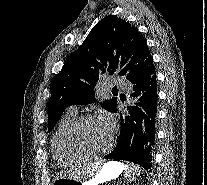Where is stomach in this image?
Instances as JSON below:
<instances>
[{
    "label": "stomach",
    "mask_w": 207,
    "mask_h": 185,
    "mask_svg": "<svg viewBox=\"0 0 207 185\" xmlns=\"http://www.w3.org/2000/svg\"><path fill=\"white\" fill-rule=\"evenodd\" d=\"M125 171V165L119 162L110 161L103 165L99 173L90 180L80 182L74 179L60 177L54 180L52 185H100L116 179Z\"/></svg>",
    "instance_id": "obj_1"
}]
</instances>
